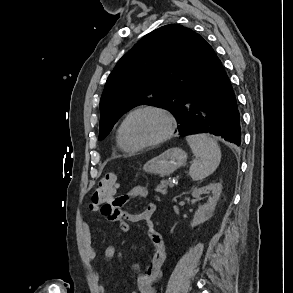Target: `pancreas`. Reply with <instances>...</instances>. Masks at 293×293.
<instances>
[{"instance_id":"pancreas-1","label":"pancreas","mask_w":293,"mask_h":293,"mask_svg":"<svg viewBox=\"0 0 293 293\" xmlns=\"http://www.w3.org/2000/svg\"><path fill=\"white\" fill-rule=\"evenodd\" d=\"M168 186H170V182L168 180H161L160 183L156 187V191L165 195L167 194Z\"/></svg>"}]
</instances>
